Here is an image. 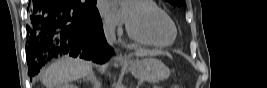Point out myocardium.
I'll return each mask as SVG.
<instances>
[{"mask_svg": "<svg viewBox=\"0 0 267 88\" xmlns=\"http://www.w3.org/2000/svg\"><path fill=\"white\" fill-rule=\"evenodd\" d=\"M133 3L137 4V5H140V6H145L147 7L149 10H151L153 13L157 14V15H161L165 18H167L170 23L172 24L173 26V29H174V35H173V38L171 41L169 42H165V41H159V40H155V39H152V38H149L135 30H133L128 24L126 26V29H127V32L129 34L130 37L140 41V42H143V43H146V44H150V45H155V46H168V45H171L172 43H174L176 37H177V27L174 23V21L165 13H163L161 10L159 9H155V8H151L149 7L147 4H145L143 1H132Z\"/></svg>", "mask_w": 267, "mask_h": 88, "instance_id": "obj_1", "label": "myocardium"}]
</instances>
